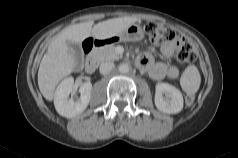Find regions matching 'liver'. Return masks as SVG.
<instances>
[{
    "label": "liver",
    "instance_id": "obj_1",
    "mask_svg": "<svg viewBox=\"0 0 238 158\" xmlns=\"http://www.w3.org/2000/svg\"><path fill=\"white\" fill-rule=\"evenodd\" d=\"M137 21L135 17L113 18L94 24L93 21L71 25L54 37L44 54L38 70V86L44 98L52 101L58 83L76 67L73 51L67 42L80 44L92 36L104 40L111 38Z\"/></svg>",
    "mask_w": 238,
    "mask_h": 158
}]
</instances>
